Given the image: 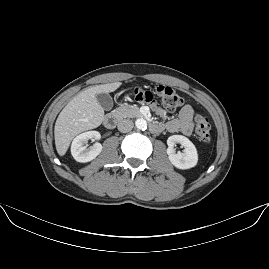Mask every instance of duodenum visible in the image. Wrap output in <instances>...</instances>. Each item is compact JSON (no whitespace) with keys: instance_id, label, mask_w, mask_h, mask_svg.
I'll use <instances>...</instances> for the list:
<instances>
[{"instance_id":"duodenum-1","label":"duodenum","mask_w":269,"mask_h":269,"mask_svg":"<svg viewBox=\"0 0 269 269\" xmlns=\"http://www.w3.org/2000/svg\"><path fill=\"white\" fill-rule=\"evenodd\" d=\"M138 115L141 118H146V114L144 112H139ZM103 124H104L105 128L112 130L116 126V118L113 115H107V116H105V118L103 120ZM149 129L152 133H159L162 131L163 126L158 124V123L151 122L149 124Z\"/></svg>"}]
</instances>
